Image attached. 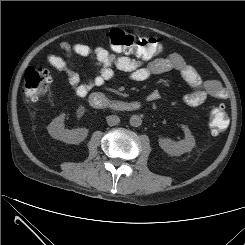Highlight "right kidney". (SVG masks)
Returning a JSON list of instances; mask_svg holds the SVG:
<instances>
[{
  "mask_svg": "<svg viewBox=\"0 0 245 245\" xmlns=\"http://www.w3.org/2000/svg\"><path fill=\"white\" fill-rule=\"evenodd\" d=\"M65 114L55 118L47 127L49 134L54 139L61 140L68 144H79L88 135V129L81 128L75 130L65 129L64 125Z\"/></svg>",
  "mask_w": 245,
  "mask_h": 245,
  "instance_id": "ca27d5eb",
  "label": "right kidney"
}]
</instances>
